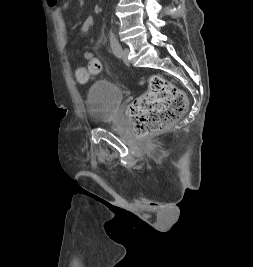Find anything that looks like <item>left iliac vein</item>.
I'll return each instance as SVG.
<instances>
[{
    "label": "left iliac vein",
    "mask_w": 253,
    "mask_h": 267,
    "mask_svg": "<svg viewBox=\"0 0 253 267\" xmlns=\"http://www.w3.org/2000/svg\"><path fill=\"white\" fill-rule=\"evenodd\" d=\"M128 55H129V50L127 48L121 50L120 57L127 64L130 62L128 59Z\"/></svg>",
    "instance_id": "4c4485c4"
}]
</instances>
